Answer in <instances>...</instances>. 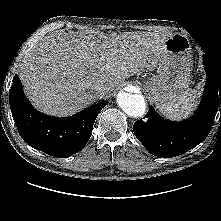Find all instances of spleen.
Wrapping results in <instances>:
<instances>
[{
  "label": "spleen",
  "mask_w": 221,
  "mask_h": 221,
  "mask_svg": "<svg viewBox=\"0 0 221 221\" xmlns=\"http://www.w3.org/2000/svg\"><path fill=\"white\" fill-rule=\"evenodd\" d=\"M195 97L187 93L179 102L159 107V110L168 118L182 119L187 117L193 110Z\"/></svg>",
  "instance_id": "spleen-1"
}]
</instances>
